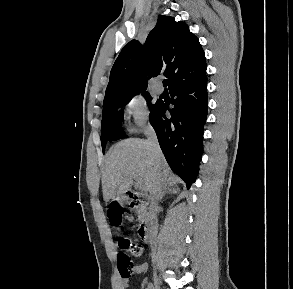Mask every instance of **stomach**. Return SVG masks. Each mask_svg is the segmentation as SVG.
<instances>
[{"label":"stomach","mask_w":293,"mask_h":289,"mask_svg":"<svg viewBox=\"0 0 293 289\" xmlns=\"http://www.w3.org/2000/svg\"><path fill=\"white\" fill-rule=\"evenodd\" d=\"M118 200L121 201V202H124V201H125V198H124L123 196H120V197L118 198Z\"/></svg>","instance_id":"obj_1"}]
</instances>
